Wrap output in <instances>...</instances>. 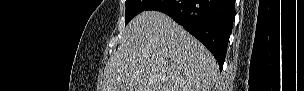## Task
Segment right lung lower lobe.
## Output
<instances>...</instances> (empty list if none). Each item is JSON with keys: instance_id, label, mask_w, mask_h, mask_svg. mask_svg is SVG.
<instances>
[{"instance_id": "right-lung-lower-lobe-1", "label": "right lung lower lobe", "mask_w": 304, "mask_h": 91, "mask_svg": "<svg viewBox=\"0 0 304 91\" xmlns=\"http://www.w3.org/2000/svg\"><path fill=\"white\" fill-rule=\"evenodd\" d=\"M146 10L163 12L182 25L211 51L222 70L235 18V0H152Z\"/></svg>"}]
</instances>
